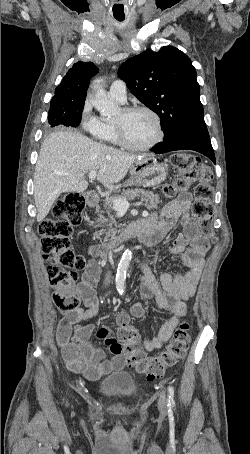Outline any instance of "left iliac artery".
Returning a JSON list of instances; mask_svg holds the SVG:
<instances>
[{
  "label": "left iliac artery",
  "instance_id": "left-iliac-artery-1",
  "mask_svg": "<svg viewBox=\"0 0 250 454\" xmlns=\"http://www.w3.org/2000/svg\"><path fill=\"white\" fill-rule=\"evenodd\" d=\"M168 403H174V389L172 386H168Z\"/></svg>",
  "mask_w": 250,
  "mask_h": 454
}]
</instances>
